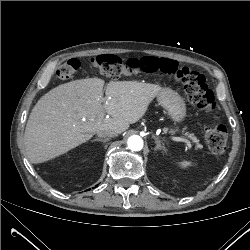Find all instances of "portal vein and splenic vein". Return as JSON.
I'll return each instance as SVG.
<instances>
[{
    "label": "portal vein and splenic vein",
    "mask_w": 250,
    "mask_h": 250,
    "mask_svg": "<svg viewBox=\"0 0 250 250\" xmlns=\"http://www.w3.org/2000/svg\"><path fill=\"white\" fill-rule=\"evenodd\" d=\"M172 139L174 141H177V142H186V143H189V141L186 138H183V137H172Z\"/></svg>",
    "instance_id": "obj_1"
}]
</instances>
